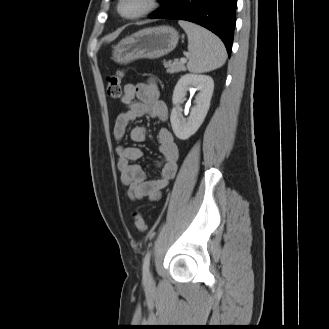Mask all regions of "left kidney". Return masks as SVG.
Here are the masks:
<instances>
[{"mask_svg": "<svg viewBox=\"0 0 329 329\" xmlns=\"http://www.w3.org/2000/svg\"><path fill=\"white\" fill-rule=\"evenodd\" d=\"M199 91L196 96V105L190 116L185 119L179 111V104L188 90ZM214 90V81L207 75L185 74L177 82L173 91V109L170 115L172 129L177 138L186 140L191 137L202 125L210 107Z\"/></svg>", "mask_w": 329, "mask_h": 329, "instance_id": "left-kidney-1", "label": "left kidney"}]
</instances>
